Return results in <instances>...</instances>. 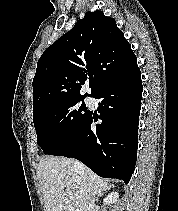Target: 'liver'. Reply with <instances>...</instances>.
Instances as JSON below:
<instances>
[{
    "mask_svg": "<svg viewBox=\"0 0 178 211\" xmlns=\"http://www.w3.org/2000/svg\"><path fill=\"white\" fill-rule=\"evenodd\" d=\"M75 162L65 157L39 161L37 174L46 211H88L89 195L110 189L107 181L85 166L78 169Z\"/></svg>",
    "mask_w": 178,
    "mask_h": 211,
    "instance_id": "liver-1",
    "label": "liver"
}]
</instances>
